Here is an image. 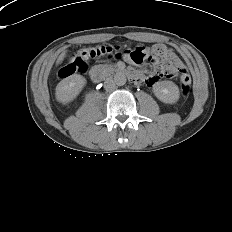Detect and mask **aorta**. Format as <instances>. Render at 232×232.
I'll list each match as a JSON object with an SVG mask.
<instances>
[{
	"label": "aorta",
	"instance_id": "aorta-1",
	"mask_svg": "<svg viewBox=\"0 0 232 232\" xmlns=\"http://www.w3.org/2000/svg\"><path fill=\"white\" fill-rule=\"evenodd\" d=\"M115 84L118 86H123L126 84L127 78L124 74L119 73L114 77Z\"/></svg>",
	"mask_w": 232,
	"mask_h": 232
}]
</instances>
